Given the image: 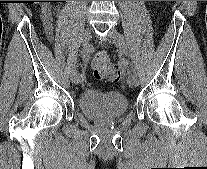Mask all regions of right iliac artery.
Here are the masks:
<instances>
[{
    "instance_id": "obj_1",
    "label": "right iliac artery",
    "mask_w": 207,
    "mask_h": 169,
    "mask_svg": "<svg viewBox=\"0 0 207 169\" xmlns=\"http://www.w3.org/2000/svg\"><path fill=\"white\" fill-rule=\"evenodd\" d=\"M81 57H82V59H83L85 62H88L89 57H90L88 51H87V50H83V51L81 52ZM84 79H85V76H84L83 74H78V81H79V82L84 81Z\"/></svg>"
}]
</instances>
